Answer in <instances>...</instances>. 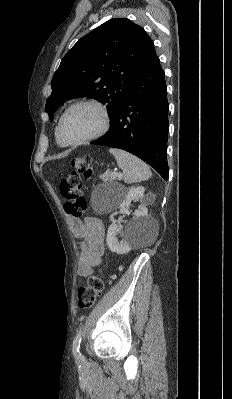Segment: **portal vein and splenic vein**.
<instances>
[{
	"label": "portal vein and splenic vein",
	"mask_w": 232,
	"mask_h": 399,
	"mask_svg": "<svg viewBox=\"0 0 232 399\" xmlns=\"http://www.w3.org/2000/svg\"><path fill=\"white\" fill-rule=\"evenodd\" d=\"M112 174H113L114 178H116V172H112Z\"/></svg>",
	"instance_id": "obj_1"
}]
</instances>
